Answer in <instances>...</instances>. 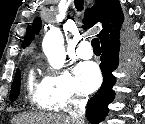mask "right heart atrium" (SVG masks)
<instances>
[{
  "label": "right heart atrium",
  "mask_w": 145,
  "mask_h": 124,
  "mask_svg": "<svg viewBox=\"0 0 145 124\" xmlns=\"http://www.w3.org/2000/svg\"><path fill=\"white\" fill-rule=\"evenodd\" d=\"M42 85L48 100L58 110L68 111L86 101V95L76 79L66 71L47 75Z\"/></svg>",
  "instance_id": "right-heart-atrium-1"
}]
</instances>
